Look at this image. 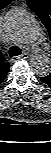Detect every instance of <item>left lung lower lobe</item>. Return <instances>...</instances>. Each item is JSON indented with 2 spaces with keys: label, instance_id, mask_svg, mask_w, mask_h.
Masks as SVG:
<instances>
[{
  "label": "left lung lower lobe",
  "instance_id": "obj_1",
  "mask_svg": "<svg viewBox=\"0 0 51 153\" xmlns=\"http://www.w3.org/2000/svg\"><path fill=\"white\" fill-rule=\"evenodd\" d=\"M40 80L46 85H48L49 87H51V78L48 75L44 77H40Z\"/></svg>",
  "mask_w": 51,
  "mask_h": 153
}]
</instances>
